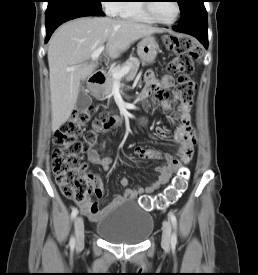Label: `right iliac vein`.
Instances as JSON below:
<instances>
[{
    "mask_svg": "<svg viewBox=\"0 0 258 275\" xmlns=\"http://www.w3.org/2000/svg\"><path fill=\"white\" fill-rule=\"evenodd\" d=\"M76 247L81 248L84 244V221L81 216H77L74 222Z\"/></svg>",
    "mask_w": 258,
    "mask_h": 275,
    "instance_id": "right-iliac-vein-1",
    "label": "right iliac vein"
}]
</instances>
